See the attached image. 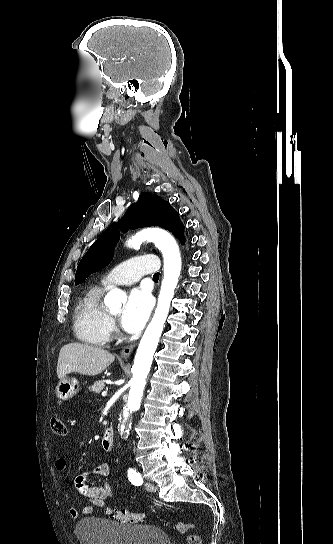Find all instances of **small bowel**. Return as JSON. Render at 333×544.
Wrapping results in <instances>:
<instances>
[{"instance_id":"small-bowel-1","label":"small bowel","mask_w":333,"mask_h":544,"mask_svg":"<svg viewBox=\"0 0 333 544\" xmlns=\"http://www.w3.org/2000/svg\"><path fill=\"white\" fill-rule=\"evenodd\" d=\"M67 467V462L64 458H59L56 461V468L59 471H64ZM111 473V466L107 462L97 465L91 471L84 473L75 478L74 487L76 491L83 496L81 499L82 506H74L70 509L71 516L78 518L81 515H90L95 508H102L106 501L113 497V489L106 478ZM90 477H99L103 479L101 485L88 484L87 480Z\"/></svg>"}]
</instances>
